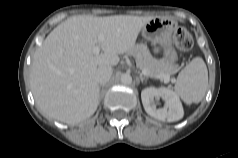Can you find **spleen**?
<instances>
[{
	"mask_svg": "<svg viewBox=\"0 0 238 158\" xmlns=\"http://www.w3.org/2000/svg\"><path fill=\"white\" fill-rule=\"evenodd\" d=\"M208 70L201 57L194 58L178 74L174 91L186 104L199 103L207 90Z\"/></svg>",
	"mask_w": 238,
	"mask_h": 158,
	"instance_id": "1",
	"label": "spleen"
}]
</instances>
